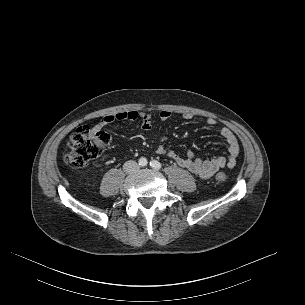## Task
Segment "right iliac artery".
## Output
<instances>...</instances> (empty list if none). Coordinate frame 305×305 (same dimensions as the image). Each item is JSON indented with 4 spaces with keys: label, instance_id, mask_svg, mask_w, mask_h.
<instances>
[{
    "label": "right iliac artery",
    "instance_id": "obj_1",
    "mask_svg": "<svg viewBox=\"0 0 305 305\" xmlns=\"http://www.w3.org/2000/svg\"><path fill=\"white\" fill-rule=\"evenodd\" d=\"M147 160H146V158H140L139 159V165L140 166H142V167H144V166H146L147 165Z\"/></svg>",
    "mask_w": 305,
    "mask_h": 305
}]
</instances>
